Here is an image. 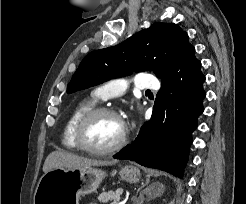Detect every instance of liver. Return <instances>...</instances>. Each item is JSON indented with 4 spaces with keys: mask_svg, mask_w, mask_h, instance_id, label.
Segmentation results:
<instances>
[{
    "mask_svg": "<svg viewBox=\"0 0 246 204\" xmlns=\"http://www.w3.org/2000/svg\"><path fill=\"white\" fill-rule=\"evenodd\" d=\"M117 163L116 160H96L87 157H81L73 153L65 151H53L50 153L43 165V172L56 168H77V167H92V166H108Z\"/></svg>",
    "mask_w": 246,
    "mask_h": 204,
    "instance_id": "obj_1",
    "label": "liver"
}]
</instances>
